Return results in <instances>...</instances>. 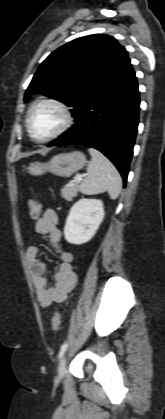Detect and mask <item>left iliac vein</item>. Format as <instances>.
<instances>
[{
	"instance_id": "1",
	"label": "left iliac vein",
	"mask_w": 165,
	"mask_h": 419,
	"mask_svg": "<svg viewBox=\"0 0 165 419\" xmlns=\"http://www.w3.org/2000/svg\"><path fill=\"white\" fill-rule=\"evenodd\" d=\"M65 367H66V357L64 356L59 364V368H58V375L60 378H62L65 374Z\"/></svg>"
}]
</instances>
